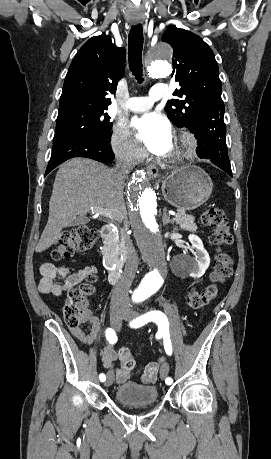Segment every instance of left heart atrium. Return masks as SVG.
Segmentation results:
<instances>
[{"instance_id": "obj_1", "label": "left heart atrium", "mask_w": 271, "mask_h": 459, "mask_svg": "<svg viewBox=\"0 0 271 459\" xmlns=\"http://www.w3.org/2000/svg\"><path fill=\"white\" fill-rule=\"evenodd\" d=\"M132 129L138 141L155 153H160L171 141L170 124L160 114L148 113L135 119Z\"/></svg>"}]
</instances>
